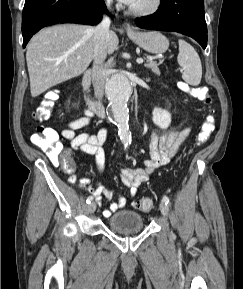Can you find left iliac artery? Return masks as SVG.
<instances>
[{
  "instance_id": "1",
  "label": "left iliac artery",
  "mask_w": 243,
  "mask_h": 289,
  "mask_svg": "<svg viewBox=\"0 0 243 289\" xmlns=\"http://www.w3.org/2000/svg\"><path fill=\"white\" fill-rule=\"evenodd\" d=\"M162 200L163 202H165L166 205H170V200L166 195L163 196Z\"/></svg>"
}]
</instances>
